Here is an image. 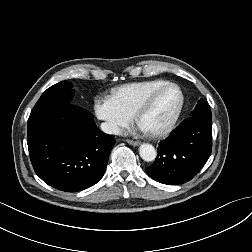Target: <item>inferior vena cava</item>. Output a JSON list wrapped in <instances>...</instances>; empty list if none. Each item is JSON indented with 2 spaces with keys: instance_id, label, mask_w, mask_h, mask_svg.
Returning <instances> with one entry per match:
<instances>
[{
  "instance_id": "obj_1",
  "label": "inferior vena cava",
  "mask_w": 252,
  "mask_h": 252,
  "mask_svg": "<svg viewBox=\"0 0 252 252\" xmlns=\"http://www.w3.org/2000/svg\"><path fill=\"white\" fill-rule=\"evenodd\" d=\"M101 130L107 134L121 135L122 131L116 124L110 122H104L101 124Z\"/></svg>"
}]
</instances>
